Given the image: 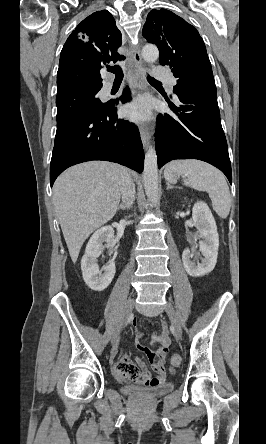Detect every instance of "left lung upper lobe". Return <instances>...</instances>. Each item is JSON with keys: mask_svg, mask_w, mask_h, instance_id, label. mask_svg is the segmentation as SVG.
Here are the masks:
<instances>
[{"mask_svg": "<svg viewBox=\"0 0 266 444\" xmlns=\"http://www.w3.org/2000/svg\"><path fill=\"white\" fill-rule=\"evenodd\" d=\"M144 38L157 45L160 64L169 65L177 85L174 93L217 94L212 67L198 31L173 12L153 9L143 27Z\"/></svg>", "mask_w": 266, "mask_h": 444, "instance_id": "obj_1", "label": "left lung upper lobe"}]
</instances>
